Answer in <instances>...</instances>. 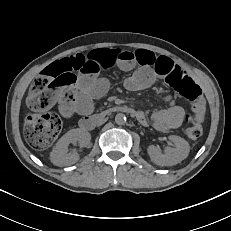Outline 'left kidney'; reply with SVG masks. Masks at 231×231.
<instances>
[{
  "instance_id": "obj_1",
  "label": "left kidney",
  "mask_w": 231,
  "mask_h": 231,
  "mask_svg": "<svg viewBox=\"0 0 231 231\" xmlns=\"http://www.w3.org/2000/svg\"><path fill=\"white\" fill-rule=\"evenodd\" d=\"M169 139L175 144V148H166L164 154L153 145L148 147L147 152L153 163L160 166H171L187 158L190 151L189 143L176 135L169 136Z\"/></svg>"
}]
</instances>
